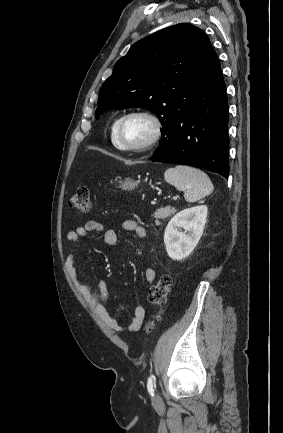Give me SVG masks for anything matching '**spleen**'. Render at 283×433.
<instances>
[{"label": "spleen", "instance_id": "spleen-1", "mask_svg": "<svg viewBox=\"0 0 283 433\" xmlns=\"http://www.w3.org/2000/svg\"><path fill=\"white\" fill-rule=\"evenodd\" d=\"M166 182L176 186L177 190H184V196L188 202H196L211 194L214 186L207 174L199 168L177 164L174 168H167L164 172Z\"/></svg>", "mask_w": 283, "mask_h": 433}]
</instances>
